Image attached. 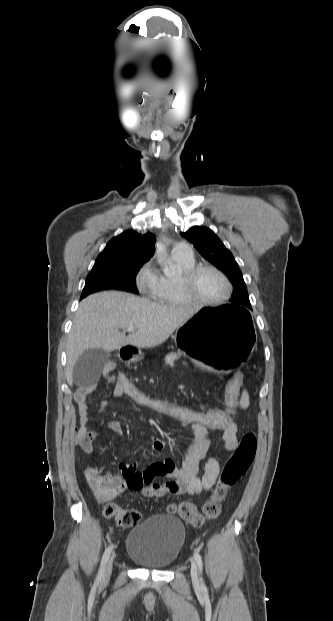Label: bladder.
I'll use <instances>...</instances> for the list:
<instances>
[{"mask_svg":"<svg viewBox=\"0 0 333 621\" xmlns=\"http://www.w3.org/2000/svg\"><path fill=\"white\" fill-rule=\"evenodd\" d=\"M184 543L183 522L173 515L158 514L129 532L127 555L138 565L165 570L177 560Z\"/></svg>","mask_w":333,"mask_h":621,"instance_id":"bladder-1","label":"bladder"}]
</instances>
